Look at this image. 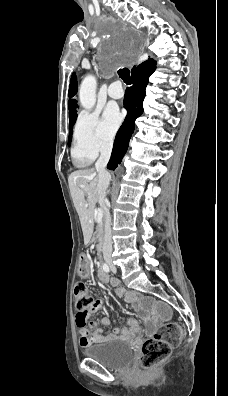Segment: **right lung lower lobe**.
<instances>
[{
  "mask_svg": "<svg viewBox=\"0 0 228 396\" xmlns=\"http://www.w3.org/2000/svg\"><path fill=\"white\" fill-rule=\"evenodd\" d=\"M156 62L149 59L138 65L132 72L133 86L126 90L124 96V107L127 116L120 127L107 168L114 170L124 157L131 135L134 131V121L143 113V100L148 79L156 68Z\"/></svg>",
  "mask_w": 228,
  "mask_h": 396,
  "instance_id": "right-lung-lower-lobe-1",
  "label": "right lung lower lobe"
}]
</instances>
